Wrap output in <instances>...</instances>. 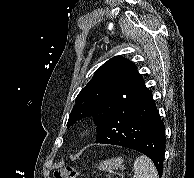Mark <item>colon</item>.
Here are the masks:
<instances>
[{"mask_svg":"<svg viewBox=\"0 0 194 178\" xmlns=\"http://www.w3.org/2000/svg\"><path fill=\"white\" fill-rule=\"evenodd\" d=\"M79 175L80 171L71 166L58 169L54 173L55 178H78Z\"/></svg>","mask_w":194,"mask_h":178,"instance_id":"obj_1","label":"colon"}]
</instances>
